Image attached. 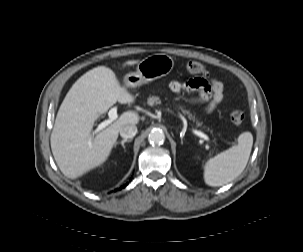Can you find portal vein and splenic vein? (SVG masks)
<instances>
[{
    "label": "portal vein and splenic vein",
    "mask_w": 303,
    "mask_h": 252,
    "mask_svg": "<svg viewBox=\"0 0 303 252\" xmlns=\"http://www.w3.org/2000/svg\"><path fill=\"white\" fill-rule=\"evenodd\" d=\"M108 116H109V119L103 121L102 123H100L98 125L97 131L104 129L105 127H107L109 124H111L114 120H116L118 118L117 108L116 107L111 108L108 112ZM194 133L206 141L210 140L209 137L201 131L195 130Z\"/></svg>",
    "instance_id": "obj_1"
}]
</instances>
